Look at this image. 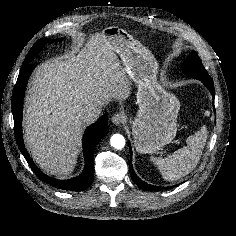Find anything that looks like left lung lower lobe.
I'll return each mask as SVG.
<instances>
[{
    "instance_id": "1",
    "label": "left lung lower lobe",
    "mask_w": 236,
    "mask_h": 236,
    "mask_svg": "<svg viewBox=\"0 0 236 236\" xmlns=\"http://www.w3.org/2000/svg\"><path fill=\"white\" fill-rule=\"evenodd\" d=\"M195 79H198V80L202 81L203 84L210 90L212 96L214 97V85H213V81H212V79L210 77H208V78H199L198 77V78H195ZM129 149H130V152H131L130 144H129ZM129 166H130V172H131V176H132L133 181L138 186H140L141 188H143V189H145L147 191H156V190L164 189V187H158V186L149 185V184L143 182L140 178H138L137 175L135 174L134 170H133L131 159H130Z\"/></svg>"
}]
</instances>
